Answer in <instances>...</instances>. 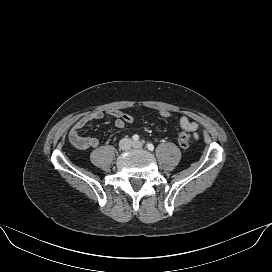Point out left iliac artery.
Returning a JSON list of instances; mask_svg holds the SVG:
<instances>
[{"instance_id": "obj_1", "label": "left iliac artery", "mask_w": 272, "mask_h": 272, "mask_svg": "<svg viewBox=\"0 0 272 272\" xmlns=\"http://www.w3.org/2000/svg\"><path fill=\"white\" fill-rule=\"evenodd\" d=\"M147 148L150 150V151H153L154 150V145L152 143H148L147 144Z\"/></svg>"}]
</instances>
